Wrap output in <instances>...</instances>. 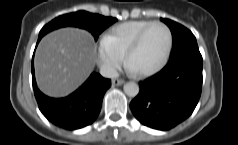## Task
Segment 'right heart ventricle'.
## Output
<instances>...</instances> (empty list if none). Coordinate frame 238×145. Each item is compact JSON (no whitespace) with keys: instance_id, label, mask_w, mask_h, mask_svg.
<instances>
[{"instance_id":"1","label":"right heart ventricle","mask_w":238,"mask_h":145,"mask_svg":"<svg viewBox=\"0 0 238 145\" xmlns=\"http://www.w3.org/2000/svg\"><path fill=\"white\" fill-rule=\"evenodd\" d=\"M151 22V20H131L118 24L107 30L102 40L120 55L124 56L137 34Z\"/></svg>"}]
</instances>
